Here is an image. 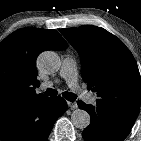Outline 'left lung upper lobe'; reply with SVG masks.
<instances>
[{
  "label": "left lung upper lobe",
  "instance_id": "obj_1",
  "mask_svg": "<svg viewBox=\"0 0 141 141\" xmlns=\"http://www.w3.org/2000/svg\"><path fill=\"white\" fill-rule=\"evenodd\" d=\"M60 32L81 57L82 78L97 92V104L116 110H139L141 78L136 61L113 34L103 28L84 25Z\"/></svg>",
  "mask_w": 141,
  "mask_h": 141
}]
</instances>
